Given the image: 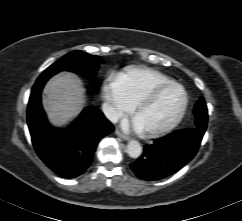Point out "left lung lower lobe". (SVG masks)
Masks as SVG:
<instances>
[{
	"mask_svg": "<svg viewBox=\"0 0 242 221\" xmlns=\"http://www.w3.org/2000/svg\"><path fill=\"white\" fill-rule=\"evenodd\" d=\"M206 129L191 127L145 145L143 154L130 166L142 180H158L180 170L197 153Z\"/></svg>",
	"mask_w": 242,
	"mask_h": 221,
	"instance_id": "left-lung-lower-lobe-1",
	"label": "left lung lower lobe"
}]
</instances>
